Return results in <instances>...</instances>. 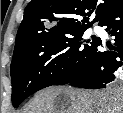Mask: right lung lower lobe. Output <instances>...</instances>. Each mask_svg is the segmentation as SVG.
Returning <instances> with one entry per match:
<instances>
[{"label": "right lung lower lobe", "mask_w": 123, "mask_h": 113, "mask_svg": "<svg viewBox=\"0 0 123 113\" xmlns=\"http://www.w3.org/2000/svg\"><path fill=\"white\" fill-rule=\"evenodd\" d=\"M115 37V47L105 49L102 41L80 75L67 83L80 88L99 89L115 79V72L123 70V1L110 10L99 22Z\"/></svg>", "instance_id": "1"}]
</instances>
